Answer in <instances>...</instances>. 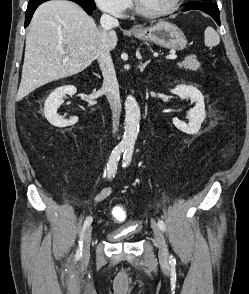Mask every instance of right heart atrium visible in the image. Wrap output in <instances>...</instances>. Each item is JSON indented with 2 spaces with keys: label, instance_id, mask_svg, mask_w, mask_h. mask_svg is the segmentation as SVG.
I'll return each instance as SVG.
<instances>
[{
  "label": "right heart atrium",
  "instance_id": "obj_1",
  "mask_svg": "<svg viewBox=\"0 0 249 294\" xmlns=\"http://www.w3.org/2000/svg\"><path fill=\"white\" fill-rule=\"evenodd\" d=\"M94 2L101 11L115 17L124 16L130 6V0H94Z\"/></svg>",
  "mask_w": 249,
  "mask_h": 294
}]
</instances>
